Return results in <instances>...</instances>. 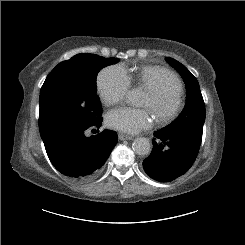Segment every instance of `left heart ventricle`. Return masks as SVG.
Masks as SVG:
<instances>
[{
    "label": "left heart ventricle",
    "instance_id": "obj_1",
    "mask_svg": "<svg viewBox=\"0 0 245 245\" xmlns=\"http://www.w3.org/2000/svg\"><path fill=\"white\" fill-rule=\"evenodd\" d=\"M164 81L166 80L165 78L163 79ZM171 103V97L169 95H167L166 97H164V99L161 101V103L159 104V106L161 108H167ZM143 106L150 109L152 112L154 110V101L151 97V95L146 92L145 94V98H144V103Z\"/></svg>",
    "mask_w": 245,
    "mask_h": 245
}]
</instances>
